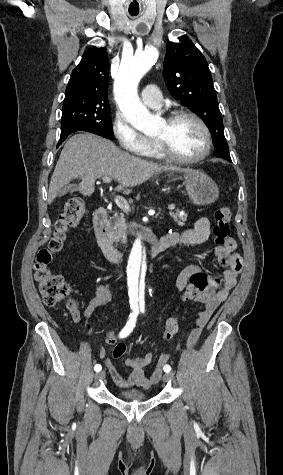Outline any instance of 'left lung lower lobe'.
Returning <instances> with one entry per match:
<instances>
[{"instance_id":"0a47b994","label":"left lung lower lobe","mask_w":283,"mask_h":475,"mask_svg":"<svg viewBox=\"0 0 283 475\" xmlns=\"http://www.w3.org/2000/svg\"><path fill=\"white\" fill-rule=\"evenodd\" d=\"M212 139H213V144L215 146L214 155L231 162V158L229 155V148H228L225 136L214 135L212 136Z\"/></svg>"}]
</instances>
